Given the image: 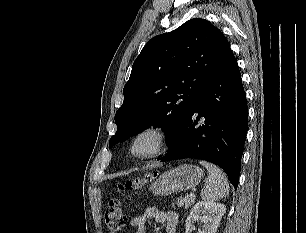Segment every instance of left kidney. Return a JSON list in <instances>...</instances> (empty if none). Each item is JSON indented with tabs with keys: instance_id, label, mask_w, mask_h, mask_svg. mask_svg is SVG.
Masks as SVG:
<instances>
[{
	"instance_id": "1",
	"label": "left kidney",
	"mask_w": 306,
	"mask_h": 233,
	"mask_svg": "<svg viewBox=\"0 0 306 233\" xmlns=\"http://www.w3.org/2000/svg\"><path fill=\"white\" fill-rule=\"evenodd\" d=\"M225 211V205L221 203L197 202L187 217L185 233H191L193 223L198 220L202 222V228L197 233H216Z\"/></svg>"
}]
</instances>
